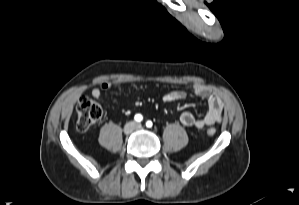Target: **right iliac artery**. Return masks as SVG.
Masks as SVG:
<instances>
[{
	"instance_id": "right-iliac-artery-1",
	"label": "right iliac artery",
	"mask_w": 299,
	"mask_h": 205,
	"mask_svg": "<svg viewBox=\"0 0 299 205\" xmlns=\"http://www.w3.org/2000/svg\"><path fill=\"white\" fill-rule=\"evenodd\" d=\"M134 119H135L136 122H141L143 120V117H142L141 114H136Z\"/></svg>"
}]
</instances>
